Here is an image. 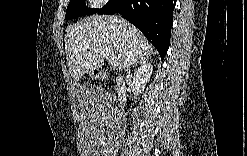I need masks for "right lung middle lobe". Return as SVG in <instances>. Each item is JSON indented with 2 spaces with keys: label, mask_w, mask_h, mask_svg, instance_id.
Here are the masks:
<instances>
[{
  "label": "right lung middle lobe",
  "mask_w": 247,
  "mask_h": 156,
  "mask_svg": "<svg viewBox=\"0 0 247 156\" xmlns=\"http://www.w3.org/2000/svg\"><path fill=\"white\" fill-rule=\"evenodd\" d=\"M99 9L88 8L85 4V0H70L67 7L65 19L69 20L83 15H90L98 12Z\"/></svg>",
  "instance_id": "dd1d6c3e"
}]
</instances>
